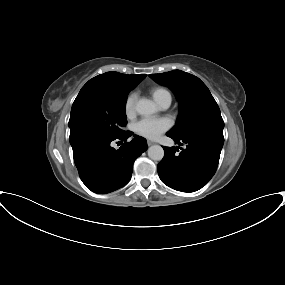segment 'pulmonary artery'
Wrapping results in <instances>:
<instances>
[{"instance_id": "1", "label": "pulmonary artery", "mask_w": 285, "mask_h": 285, "mask_svg": "<svg viewBox=\"0 0 285 285\" xmlns=\"http://www.w3.org/2000/svg\"><path fill=\"white\" fill-rule=\"evenodd\" d=\"M171 104V99L170 98H166L164 99L162 102L159 103V105L161 106V108L166 109L170 106Z\"/></svg>"}]
</instances>
